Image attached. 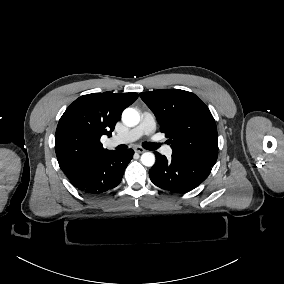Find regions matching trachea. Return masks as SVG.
Listing matches in <instances>:
<instances>
[{"instance_id":"trachea-1","label":"trachea","mask_w":284,"mask_h":284,"mask_svg":"<svg viewBox=\"0 0 284 284\" xmlns=\"http://www.w3.org/2000/svg\"><path fill=\"white\" fill-rule=\"evenodd\" d=\"M142 146H143L145 149H147V150H156V149L160 146V144L151 143V142H145V143H143ZM126 148H127L126 145H119V146L117 147L118 150H124V149H126Z\"/></svg>"}]
</instances>
